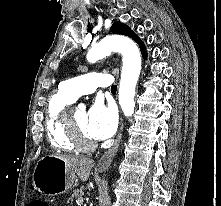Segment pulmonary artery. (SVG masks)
Segmentation results:
<instances>
[{
    "label": "pulmonary artery",
    "instance_id": "e3ab8cb5",
    "mask_svg": "<svg viewBox=\"0 0 221 206\" xmlns=\"http://www.w3.org/2000/svg\"><path fill=\"white\" fill-rule=\"evenodd\" d=\"M114 83L110 74L88 73L62 82L63 90L74 100L83 94L93 93L98 87H109Z\"/></svg>",
    "mask_w": 221,
    "mask_h": 206
}]
</instances>
